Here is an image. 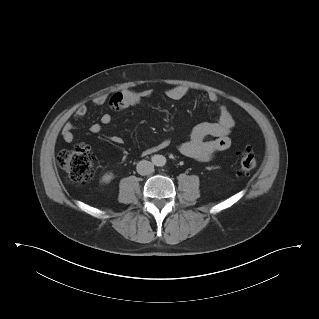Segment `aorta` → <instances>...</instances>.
<instances>
[{"label":"aorta","mask_w":319,"mask_h":319,"mask_svg":"<svg viewBox=\"0 0 319 319\" xmlns=\"http://www.w3.org/2000/svg\"><path fill=\"white\" fill-rule=\"evenodd\" d=\"M165 163H166V159H165L164 156H162V155H157V156H156V158H155V164H156L157 166H163V165H165Z\"/></svg>","instance_id":"1"}]
</instances>
